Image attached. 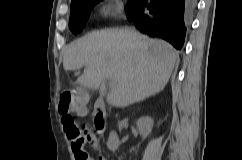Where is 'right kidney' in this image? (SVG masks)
I'll return each mask as SVG.
<instances>
[{
	"instance_id": "1",
	"label": "right kidney",
	"mask_w": 242,
	"mask_h": 160,
	"mask_svg": "<svg viewBox=\"0 0 242 160\" xmlns=\"http://www.w3.org/2000/svg\"><path fill=\"white\" fill-rule=\"evenodd\" d=\"M154 121L151 117L145 116L140 117L137 122V128L142 136L143 140L151 133L153 128ZM120 145L119 138L116 132H111L109 135V139L107 141V147L110 151L115 152Z\"/></svg>"
}]
</instances>
